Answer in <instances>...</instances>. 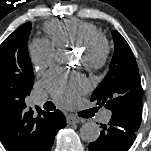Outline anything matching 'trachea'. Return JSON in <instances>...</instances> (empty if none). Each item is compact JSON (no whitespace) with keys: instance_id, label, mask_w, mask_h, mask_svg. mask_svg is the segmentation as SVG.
I'll list each match as a JSON object with an SVG mask.
<instances>
[{"instance_id":"trachea-1","label":"trachea","mask_w":151,"mask_h":151,"mask_svg":"<svg viewBox=\"0 0 151 151\" xmlns=\"http://www.w3.org/2000/svg\"><path fill=\"white\" fill-rule=\"evenodd\" d=\"M44 109H45V110H52L53 107H50V106H48V105L45 104V105H44Z\"/></svg>"}]
</instances>
